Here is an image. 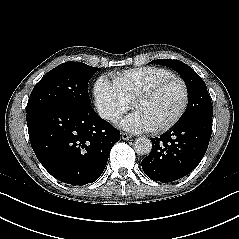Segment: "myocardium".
I'll return each instance as SVG.
<instances>
[{
	"mask_svg": "<svg viewBox=\"0 0 239 239\" xmlns=\"http://www.w3.org/2000/svg\"><path fill=\"white\" fill-rule=\"evenodd\" d=\"M169 79H176L181 83V85L183 87V101H182L181 107H180L178 113L176 114V116L172 120H170L168 123H166L160 127L153 128L152 131L154 133H164V132L169 131L185 115L187 108H188V104H189V88H188L186 81L178 74H175L173 72L166 73V74L158 77L157 79H155L153 82H151L144 88L137 91L130 102L131 109H134V107L139 102L150 98L156 92V90L159 88V86Z\"/></svg>",
	"mask_w": 239,
	"mask_h": 239,
	"instance_id": "1",
	"label": "myocardium"
}]
</instances>
